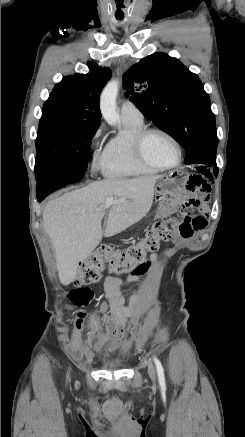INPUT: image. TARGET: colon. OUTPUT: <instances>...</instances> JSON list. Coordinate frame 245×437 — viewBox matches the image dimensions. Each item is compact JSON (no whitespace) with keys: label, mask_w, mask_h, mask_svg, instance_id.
I'll return each instance as SVG.
<instances>
[{"label":"colon","mask_w":245,"mask_h":437,"mask_svg":"<svg viewBox=\"0 0 245 437\" xmlns=\"http://www.w3.org/2000/svg\"><path fill=\"white\" fill-rule=\"evenodd\" d=\"M166 222H172L168 213L152 226L138 245L126 250H119L112 246L99 247L82 264L75 280L76 288L69 294L70 301L75 306L87 305L92 298V291L87 285L100 282L105 271L115 276L143 271L147 263L146 251L157 250L161 242L168 241L172 237V231L170 227H166ZM84 317L85 313L81 312L77 320H84Z\"/></svg>","instance_id":"5ec220e1"}]
</instances>
